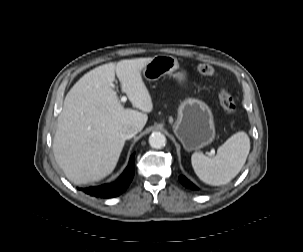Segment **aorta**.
<instances>
[{
    "label": "aorta",
    "instance_id": "1",
    "mask_svg": "<svg viewBox=\"0 0 303 252\" xmlns=\"http://www.w3.org/2000/svg\"><path fill=\"white\" fill-rule=\"evenodd\" d=\"M149 144L152 148L160 149L166 144V137L160 132H153L149 137Z\"/></svg>",
    "mask_w": 303,
    "mask_h": 252
}]
</instances>
